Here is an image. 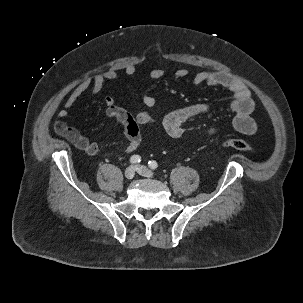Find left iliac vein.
Masks as SVG:
<instances>
[{
    "instance_id": "obj_1",
    "label": "left iliac vein",
    "mask_w": 303,
    "mask_h": 303,
    "mask_svg": "<svg viewBox=\"0 0 303 303\" xmlns=\"http://www.w3.org/2000/svg\"><path fill=\"white\" fill-rule=\"evenodd\" d=\"M136 171L138 174L147 177V178H153L154 177V173L148 169L146 166L143 165H137L135 167Z\"/></svg>"
}]
</instances>
